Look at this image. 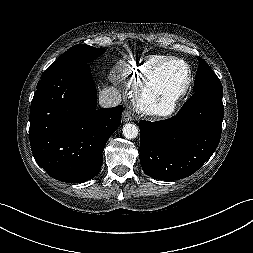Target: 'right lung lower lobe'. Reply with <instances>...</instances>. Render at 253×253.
Instances as JSON below:
<instances>
[{
  "instance_id": "obj_1",
  "label": "right lung lower lobe",
  "mask_w": 253,
  "mask_h": 253,
  "mask_svg": "<svg viewBox=\"0 0 253 253\" xmlns=\"http://www.w3.org/2000/svg\"><path fill=\"white\" fill-rule=\"evenodd\" d=\"M96 104L88 64L41 76L30 109V145L35 161L52 178L81 183L99 173L123 106L97 109Z\"/></svg>"
}]
</instances>
